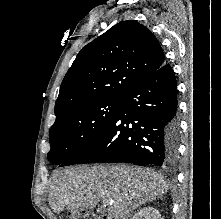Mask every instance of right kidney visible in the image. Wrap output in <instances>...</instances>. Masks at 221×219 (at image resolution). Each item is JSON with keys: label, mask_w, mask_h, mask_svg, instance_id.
<instances>
[{"label": "right kidney", "mask_w": 221, "mask_h": 219, "mask_svg": "<svg viewBox=\"0 0 221 219\" xmlns=\"http://www.w3.org/2000/svg\"><path fill=\"white\" fill-rule=\"evenodd\" d=\"M131 219H163L160 212L151 206L140 209Z\"/></svg>", "instance_id": "right-kidney-1"}]
</instances>
